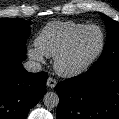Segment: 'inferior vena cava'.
Here are the masks:
<instances>
[{
  "mask_svg": "<svg viewBox=\"0 0 119 119\" xmlns=\"http://www.w3.org/2000/svg\"><path fill=\"white\" fill-rule=\"evenodd\" d=\"M24 68L31 73L40 72L42 69V66L40 63L36 61L29 60L23 64Z\"/></svg>",
  "mask_w": 119,
  "mask_h": 119,
  "instance_id": "602c4592",
  "label": "inferior vena cava"
}]
</instances>
